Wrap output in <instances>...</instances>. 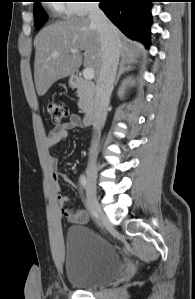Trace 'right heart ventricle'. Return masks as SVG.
Instances as JSON below:
<instances>
[{
  "instance_id": "right-heart-ventricle-1",
  "label": "right heart ventricle",
  "mask_w": 195,
  "mask_h": 299,
  "mask_svg": "<svg viewBox=\"0 0 195 299\" xmlns=\"http://www.w3.org/2000/svg\"><path fill=\"white\" fill-rule=\"evenodd\" d=\"M55 9L59 13L68 14V12H67V6L65 4H57V5H55Z\"/></svg>"
}]
</instances>
